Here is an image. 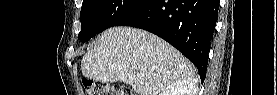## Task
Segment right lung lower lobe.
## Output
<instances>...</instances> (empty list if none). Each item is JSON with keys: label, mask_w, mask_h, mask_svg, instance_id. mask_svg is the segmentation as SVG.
I'll return each mask as SVG.
<instances>
[{"label": "right lung lower lobe", "mask_w": 277, "mask_h": 95, "mask_svg": "<svg viewBox=\"0 0 277 95\" xmlns=\"http://www.w3.org/2000/svg\"><path fill=\"white\" fill-rule=\"evenodd\" d=\"M219 0H143L116 26H132L163 38L206 76Z\"/></svg>", "instance_id": "right-lung-lower-lobe-1"}]
</instances>
